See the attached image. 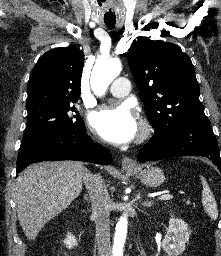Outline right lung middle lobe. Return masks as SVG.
<instances>
[{"label": "right lung middle lobe", "instance_id": "1", "mask_svg": "<svg viewBox=\"0 0 221 256\" xmlns=\"http://www.w3.org/2000/svg\"><path fill=\"white\" fill-rule=\"evenodd\" d=\"M27 110L28 120L21 145L51 132L86 129L72 104H42Z\"/></svg>", "mask_w": 221, "mask_h": 256}]
</instances>
